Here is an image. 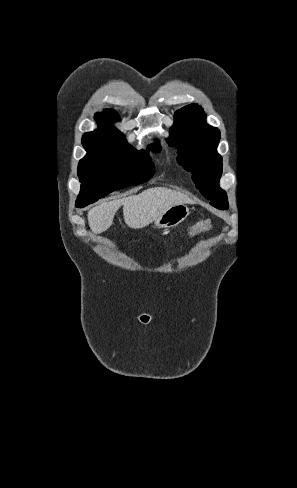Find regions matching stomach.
<instances>
[{
  "label": "stomach",
  "mask_w": 297,
  "mask_h": 488,
  "mask_svg": "<svg viewBox=\"0 0 297 488\" xmlns=\"http://www.w3.org/2000/svg\"><path fill=\"white\" fill-rule=\"evenodd\" d=\"M189 212L186 204L173 205L154 221V225L161 229L175 227L187 218Z\"/></svg>",
  "instance_id": "1"
}]
</instances>
